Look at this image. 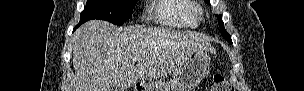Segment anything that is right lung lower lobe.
<instances>
[{"label":"right lung lower lobe","instance_id":"1","mask_svg":"<svg viewBox=\"0 0 304 91\" xmlns=\"http://www.w3.org/2000/svg\"><path fill=\"white\" fill-rule=\"evenodd\" d=\"M81 24H82V23L80 22V23L77 25V27L80 26ZM75 29H76V28H75ZM75 29H74V30H75Z\"/></svg>","mask_w":304,"mask_h":91}]
</instances>
